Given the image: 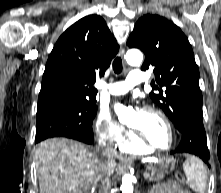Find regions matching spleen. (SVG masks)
Instances as JSON below:
<instances>
[{
    "mask_svg": "<svg viewBox=\"0 0 221 193\" xmlns=\"http://www.w3.org/2000/svg\"><path fill=\"white\" fill-rule=\"evenodd\" d=\"M183 169L188 186L198 193H205L207 187V172L203 162L194 156L186 155Z\"/></svg>",
    "mask_w": 221,
    "mask_h": 193,
    "instance_id": "obj_1",
    "label": "spleen"
}]
</instances>
